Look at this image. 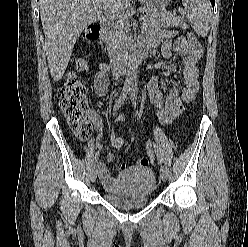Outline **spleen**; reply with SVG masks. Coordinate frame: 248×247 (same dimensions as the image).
<instances>
[{
	"instance_id": "1",
	"label": "spleen",
	"mask_w": 248,
	"mask_h": 247,
	"mask_svg": "<svg viewBox=\"0 0 248 247\" xmlns=\"http://www.w3.org/2000/svg\"><path fill=\"white\" fill-rule=\"evenodd\" d=\"M185 16L198 36H207L212 18L208 0H182Z\"/></svg>"
}]
</instances>
